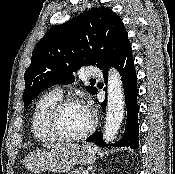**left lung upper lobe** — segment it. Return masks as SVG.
<instances>
[{
    "instance_id": "5c2ea615",
    "label": "left lung upper lobe",
    "mask_w": 175,
    "mask_h": 174,
    "mask_svg": "<svg viewBox=\"0 0 175 174\" xmlns=\"http://www.w3.org/2000/svg\"><path fill=\"white\" fill-rule=\"evenodd\" d=\"M128 44L124 24L110 8L91 9L51 28L35 47L25 72V108L48 87L73 83V72L82 65L109 68ZM87 89L97 92L90 86Z\"/></svg>"
}]
</instances>
